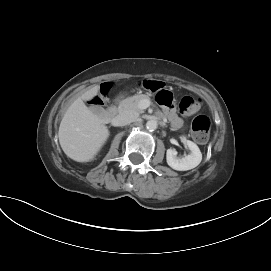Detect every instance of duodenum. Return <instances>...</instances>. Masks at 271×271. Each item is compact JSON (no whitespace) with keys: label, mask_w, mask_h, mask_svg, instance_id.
I'll list each match as a JSON object with an SVG mask.
<instances>
[{"label":"duodenum","mask_w":271,"mask_h":271,"mask_svg":"<svg viewBox=\"0 0 271 271\" xmlns=\"http://www.w3.org/2000/svg\"><path fill=\"white\" fill-rule=\"evenodd\" d=\"M116 113H117L116 107H114V106L110 107L106 112V119L109 122H112L116 116Z\"/></svg>","instance_id":"duodenum-1"}]
</instances>
